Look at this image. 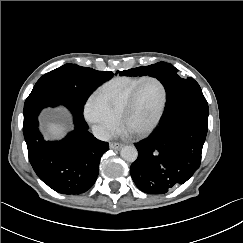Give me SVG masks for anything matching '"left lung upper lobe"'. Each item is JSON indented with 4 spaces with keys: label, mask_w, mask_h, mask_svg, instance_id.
I'll list each match as a JSON object with an SVG mask.
<instances>
[{
    "label": "left lung upper lobe",
    "mask_w": 243,
    "mask_h": 243,
    "mask_svg": "<svg viewBox=\"0 0 243 243\" xmlns=\"http://www.w3.org/2000/svg\"><path fill=\"white\" fill-rule=\"evenodd\" d=\"M120 75L156 77L166 90V108L190 94L202 92L199 84L193 78L184 79L180 77L178 70L166 62L121 71Z\"/></svg>",
    "instance_id": "left-lung-upper-lobe-1"
}]
</instances>
